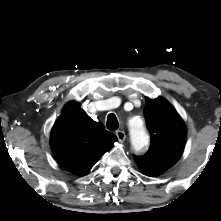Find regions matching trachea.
Wrapping results in <instances>:
<instances>
[{"instance_id":"obj_1","label":"trachea","mask_w":221,"mask_h":221,"mask_svg":"<svg viewBox=\"0 0 221 221\" xmlns=\"http://www.w3.org/2000/svg\"><path fill=\"white\" fill-rule=\"evenodd\" d=\"M118 127H119V123H118L117 117L115 116V114L110 113L107 116V128H108V130L114 131V130L118 129Z\"/></svg>"}]
</instances>
